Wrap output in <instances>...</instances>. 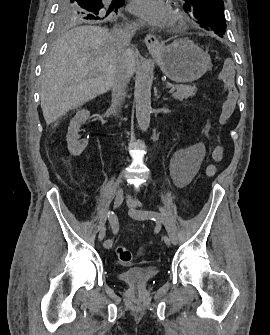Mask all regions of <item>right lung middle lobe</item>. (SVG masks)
Listing matches in <instances>:
<instances>
[{"mask_svg": "<svg viewBox=\"0 0 270 335\" xmlns=\"http://www.w3.org/2000/svg\"><path fill=\"white\" fill-rule=\"evenodd\" d=\"M124 0H113L110 7H104L102 0H60L57 12V26L65 29L90 22L108 23L123 6Z\"/></svg>", "mask_w": 270, "mask_h": 335, "instance_id": "1", "label": "right lung middle lobe"}]
</instances>
